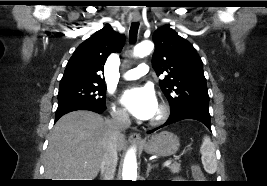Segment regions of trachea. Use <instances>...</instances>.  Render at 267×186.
Listing matches in <instances>:
<instances>
[{
    "label": "trachea",
    "instance_id": "3493384b",
    "mask_svg": "<svg viewBox=\"0 0 267 186\" xmlns=\"http://www.w3.org/2000/svg\"><path fill=\"white\" fill-rule=\"evenodd\" d=\"M138 29H139V23L138 22L131 23L130 32H129V39H130V43H132V44L136 42Z\"/></svg>",
    "mask_w": 267,
    "mask_h": 186
}]
</instances>
